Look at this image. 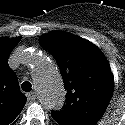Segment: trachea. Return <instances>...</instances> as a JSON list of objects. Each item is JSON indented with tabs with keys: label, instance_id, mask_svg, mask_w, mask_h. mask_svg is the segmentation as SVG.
<instances>
[{
	"label": "trachea",
	"instance_id": "obj_1",
	"mask_svg": "<svg viewBox=\"0 0 125 125\" xmlns=\"http://www.w3.org/2000/svg\"><path fill=\"white\" fill-rule=\"evenodd\" d=\"M22 90L25 92H30L32 90V84L28 81H25L21 84Z\"/></svg>",
	"mask_w": 125,
	"mask_h": 125
}]
</instances>
